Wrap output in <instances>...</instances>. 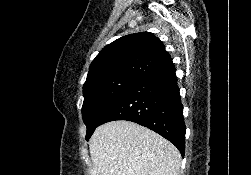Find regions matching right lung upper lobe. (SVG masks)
<instances>
[{"label": "right lung upper lobe", "instance_id": "cb5924a9", "mask_svg": "<svg viewBox=\"0 0 251 175\" xmlns=\"http://www.w3.org/2000/svg\"><path fill=\"white\" fill-rule=\"evenodd\" d=\"M170 54L150 32L123 36L105 46L92 61L84 86L126 75L144 79L173 69Z\"/></svg>", "mask_w": 251, "mask_h": 175}]
</instances>
